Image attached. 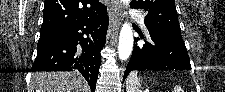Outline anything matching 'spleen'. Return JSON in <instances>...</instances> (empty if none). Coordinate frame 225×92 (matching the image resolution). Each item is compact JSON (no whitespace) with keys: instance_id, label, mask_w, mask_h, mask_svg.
Wrapping results in <instances>:
<instances>
[{"instance_id":"obj_1","label":"spleen","mask_w":225,"mask_h":92,"mask_svg":"<svg viewBox=\"0 0 225 92\" xmlns=\"http://www.w3.org/2000/svg\"><path fill=\"white\" fill-rule=\"evenodd\" d=\"M126 92H141L139 89L138 71H132L126 80ZM174 92H183L181 87L176 86Z\"/></svg>"}]
</instances>
